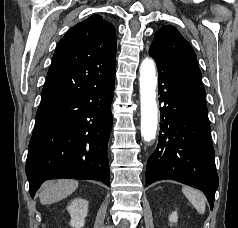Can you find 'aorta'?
<instances>
[{
    "mask_svg": "<svg viewBox=\"0 0 238 228\" xmlns=\"http://www.w3.org/2000/svg\"><path fill=\"white\" fill-rule=\"evenodd\" d=\"M140 102L141 134L144 141L155 139L158 124V107L156 102V66L151 58H145L140 65Z\"/></svg>",
    "mask_w": 238,
    "mask_h": 228,
    "instance_id": "1",
    "label": "aorta"
}]
</instances>
